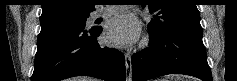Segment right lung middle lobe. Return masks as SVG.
Returning <instances> with one entry per match:
<instances>
[{"mask_svg":"<svg viewBox=\"0 0 237 81\" xmlns=\"http://www.w3.org/2000/svg\"><path fill=\"white\" fill-rule=\"evenodd\" d=\"M88 16H80V17H68V18H60V19H53L47 21H40V24H50V23H73L81 26H85L86 19Z\"/></svg>","mask_w":237,"mask_h":81,"instance_id":"obj_1","label":"right lung middle lobe"}]
</instances>
